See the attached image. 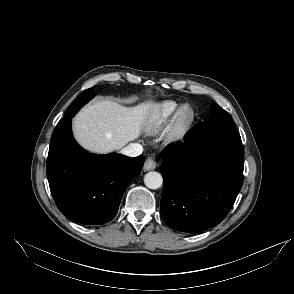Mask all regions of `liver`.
<instances>
[{"label": "liver", "instance_id": "6515ba94", "mask_svg": "<svg viewBox=\"0 0 294 294\" xmlns=\"http://www.w3.org/2000/svg\"><path fill=\"white\" fill-rule=\"evenodd\" d=\"M157 113L153 102L125 107L110 100L96 101L74 118V136L90 152L109 153L136 140L147 121Z\"/></svg>", "mask_w": 294, "mask_h": 294}]
</instances>
